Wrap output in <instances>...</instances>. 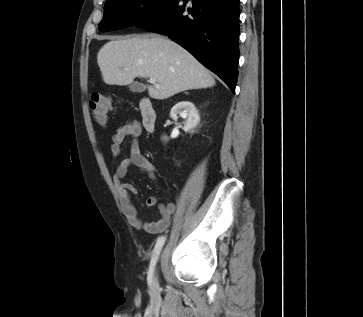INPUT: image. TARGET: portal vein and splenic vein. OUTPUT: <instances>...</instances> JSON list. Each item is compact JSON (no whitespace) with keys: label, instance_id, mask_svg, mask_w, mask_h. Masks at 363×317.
I'll return each mask as SVG.
<instances>
[{"label":"portal vein and splenic vein","instance_id":"1","mask_svg":"<svg viewBox=\"0 0 363 317\" xmlns=\"http://www.w3.org/2000/svg\"><path fill=\"white\" fill-rule=\"evenodd\" d=\"M149 82L153 84L155 87H159V85L156 83V80L154 78H150Z\"/></svg>","mask_w":363,"mask_h":317}]
</instances>
